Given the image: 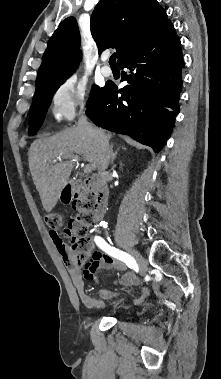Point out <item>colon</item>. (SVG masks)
Returning <instances> with one entry per match:
<instances>
[{
	"instance_id": "colon-1",
	"label": "colon",
	"mask_w": 221,
	"mask_h": 379,
	"mask_svg": "<svg viewBox=\"0 0 221 379\" xmlns=\"http://www.w3.org/2000/svg\"><path fill=\"white\" fill-rule=\"evenodd\" d=\"M95 199L94 193L84 191V193L75 201L72 206L75 210V216L70 220L69 226L65 230L66 236L71 243V249L74 252L75 262L79 266H88L86 258L90 253L91 241L88 236V227L93 221L92 205ZM43 220L52 235H58L57 231L62 226V218L59 213L49 212L44 214Z\"/></svg>"
}]
</instances>
